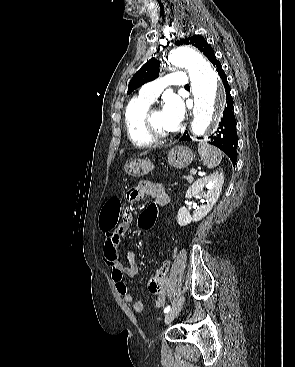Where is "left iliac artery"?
Here are the masks:
<instances>
[{
	"instance_id": "1",
	"label": "left iliac artery",
	"mask_w": 295,
	"mask_h": 367,
	"mask_svg": "<svg viewBox=\"0 0 295 367\" xmlns=\"http://www.w3.org/2000/svg\"><path fill=\"white\" fill-rule=\"evenodd\" d=\"M170 311V306L165 307L164 313H168Z\"/></svg>"
}]
</instances>
